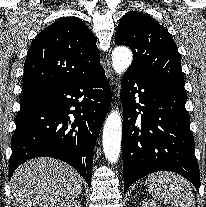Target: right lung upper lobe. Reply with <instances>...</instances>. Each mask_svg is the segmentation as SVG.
Wrapping results in <instances>:
<instances>
[{"label": "right lung upper lobe", "mask_w": 206, "mask_h": 207, "mask_svg": "<svg viewBox=\"0 0 206 207\" xmlns=\"http://www.w3.org/2000/svg\"><path fill=\"white\" fill-rule=\"evenodd\" d=\"M100 69L96 38L80 18L66 17L41 31L24 64L23 95L66 85Z\"/></svg>", "instance_id": "obj_1"}]
</instances>
